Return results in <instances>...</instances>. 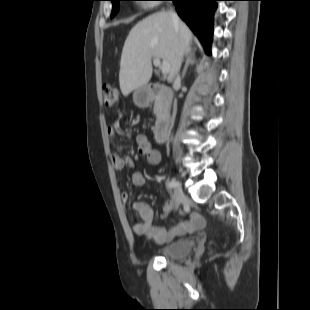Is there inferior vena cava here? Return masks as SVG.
I'll return each instance as SVG.
<instances>
[{
  "label": "inferior vena cava",
  "mask_w": 310,
  "mask_h": 310,
  "mask_svg": "<svg viewBox=\"0 0 310 310\" xmlns=\"http://www.w3.org/2000/svg\"><path fill=\"white\" fill-rule=\"evenodd\" d=\"M169 14H170V16H171V18H172V21H173L174 25H175L176 27H179V25H180V20H179L177 14H176L173 10H170V11H169ZM179 68H180V66L178 67V70H177V73H176V77H175V80H174V84H173V88H174V89L180 84V81H181V80H180V76H179V74H178Z\"/></svg>",
  "instance_id": "602c4592"
}]
</instances>
